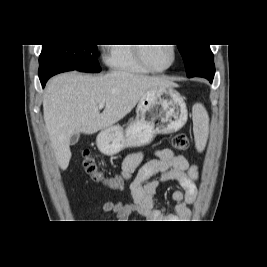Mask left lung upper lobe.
Masks as SVG:
<instances>
[{"label": "left lung upper lobe", "instance_id": "1", "mask_svg": "<svg viewBox=\"0 0 267 267\" xmlns=\"http://www.w3.org/2000/svg\"><path fill=\"white\" fill-rule=\"evenodd\" d=\"M183 57L188 77H193L199 70L214 66L213 53L209 45H178Z\"/></svg>", "mask_w": 267, "mask_h": 267}]
</instances>
